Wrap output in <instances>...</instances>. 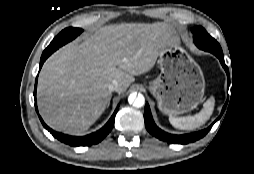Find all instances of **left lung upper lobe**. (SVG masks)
Wrapping results in <instances>:
<instances>
[{
	"instance_id": "left-lung-upper-lobe-1",
	"label": "left lung upper lobe",
	"mask_w": 254,
	"mask_h": 174,
	"mask_svg": "<svg viewBox=\"0 0 254 174\" xmlns=\"http://www.w3.org/2000/svg\"><path fill=\"white\" fill-rule=\"evenodd\" d=\"M194 34L195 45L205 51L213 54H222V49L219 43L212 38L203 27L196 26L192 29Z\"/></svg>"
}]
</instances>
